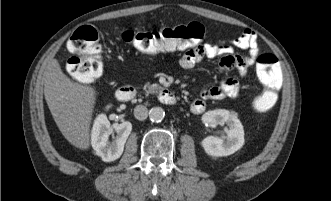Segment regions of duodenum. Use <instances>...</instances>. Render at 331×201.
I'll list each match as a JSON object with an SVG mask.
<instances>
[{
	"label": "duodenum",
	"instance_id": "410a0bca",
	"mask_svg": "<svg viewBox=\"0 0 331 201\" xmlns=\"http://www.w3.org/2000/svg\"><path fill=\"white\" fill-rule=\"evenodd\" d=\"M136 93L137 90L133 85L125 84L117 88L115 95L119 101H127L135 97ZM158 98L166 105H173L176 102L175 95L165 87L160 88Z\"/></svg>",
	"mask_w": 331,
	"mask_h": 201
}]
</instances>
